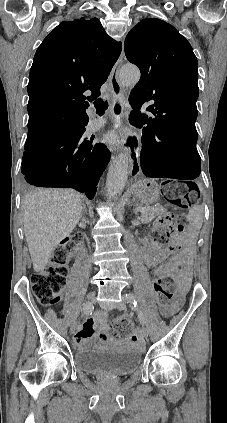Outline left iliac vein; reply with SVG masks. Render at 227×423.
<instances>
[{
    "label": "left iliac vein",
    "mask_w": 227,
    "mask_h": 423,
    "mask_svg": "<svg viewBox=\"0 0 227 423\" xmlns=\"http://www.w3.org/2000/svg\"><path fill=\"white\" fill-rule=\"evenodd\" d=\"M126 300H125V296H123V301H121L119 304H118V306H117V308L119 309V310H124L125 308H126ZM134 310H136V308H134ZM148 329L146 328V327H143L142 328V337H144V338H146L147 336H148Z\"/></svg>",
    "instance_id": "1"
}]
</instances>
